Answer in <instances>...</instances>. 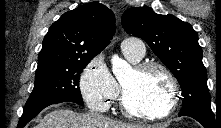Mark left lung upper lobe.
I'll return each instance as SVG.
<instances>
[{"mask_svg": "<svg viewBox=\"0 0 221 128\" xmlns=\"http://www.w3.org/2000/svg\"><path fill=\"white\" fill-rule=\"evenodd\" d=\"M121 20L124 30L143 39L177 78L183 97L179 114L213 113L202 48L192 26L173 15L156 14L146 6L126 10Z\"/></svg>", "mask_w": 221, "mask_h": 128, "instance_id": "5c2ea615", "label": "left lung upper lobe"}]
</instances>
